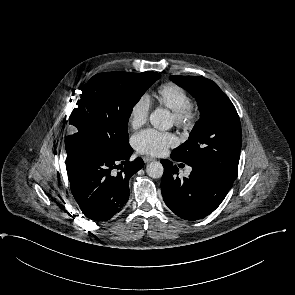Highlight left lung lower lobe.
<instances>
[{
  "label": "left lung lower lobe",
  "mask_w": 295,
  "mask_h": 295,
  "mask_svg": "<svg viewBox=\"0 0 295 295\" xmlns=\"http://www.w3.org/2000/svg\"><path fill=\"white\" fill-rule=\"evenodd\" d=\"M171 158L181 162L173 153ZM161 192L166 205L179 217L198 220L212 213L232 187L220 174L202 166H191L189 177L179 178L178 168L162 159Z\"/></svg>",
  "instance_id": "1"
}]
</instances>
